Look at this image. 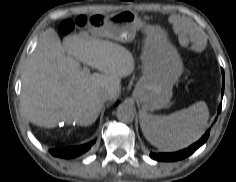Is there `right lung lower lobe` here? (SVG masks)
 Masks as SVG:
<instances>
[{"instance_id":"right-lung-lower-lobe-1","label":"right lung lower lobe","mask_w":236,"mask_h":182,"mask_svg":"<svg viewBox=\"0 0 236 182\" xmlns=\"http://www.w3.org/2000/svg\"><path fill=\"white\" fill-rule=\"evenodd\" d=\"M93 143L94 141L81 145V146L52 149L50 150V152L54 156H58V157L66 158V159L74 158L88 151L91 148Z\"/></svg>"}]
</instances>
